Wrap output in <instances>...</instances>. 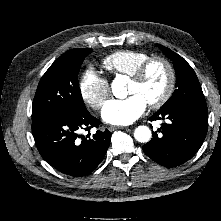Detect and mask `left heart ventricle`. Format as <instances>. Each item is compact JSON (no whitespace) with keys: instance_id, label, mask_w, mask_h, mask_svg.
<instances>
[{"instance_id":"left-heart-ventricle-1","label":"left heart ventricle","mask_w":221,"mask_h":221,"mask_svg":"<svg viewBox=\"0 0 221 221\" xmlns=\"http://www.w3.org/2000/svg\"><path fill=\"white\" fill-rule=\"evenodd\" d=\"M167 81L168 74L166 68L161 63L155 62L150 66L141 82H129L128 94H138L148 104L157 100L163 94Z\"/></svg>"}]
</instances>
